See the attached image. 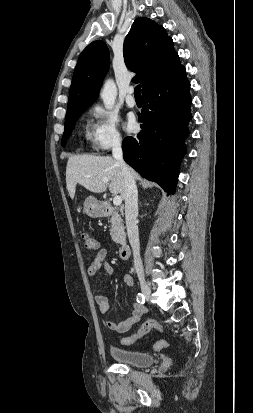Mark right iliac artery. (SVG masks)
Returning a JSON list of instances; mask_svg holds the SVG:
<instances>
[{"instance_id":"obj_1","label":"right iliac artery","mask_w":253,"mask_h":413,"mask_svg":"<svg viewBox=\"0 0 253 413\" xmlns=\"http://www.w3.org/2000/svg\"><path fill=\"white\" fill-rule=\"evenodd\" d=\"M144 301H145L144 295L141 294V293H138L137 302L140 303V304H144Z\"/></svg>"}]
</instances>
